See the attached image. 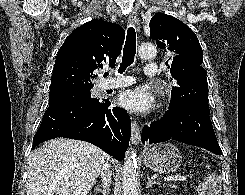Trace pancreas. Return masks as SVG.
<instances>
[{
	"label": "pancreas",
	"mask_w": 245,
	"mask_h": 195,
	"mask_svg": "<svg viewBox=\"0 0 245 195\" xmlns=\"http://www.w3.org/2000/svg\"><path fill=\"white\" fill-rule=\"evenodd\" d=\"M169 187H173V188H174V187H175V185H174V184H170V185H169Z\"/></svg>",
	"instance_id": "cf45deb5"
}]
</instances>
